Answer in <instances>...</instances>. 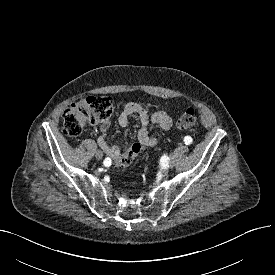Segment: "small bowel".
<instances>
[{
    "mask_svg": "<svg viewBox=\"0 0 275 275\" xmlns=\"http://www.w3.org/2000/svg\"><path fill=\"white\" fill-rule=\"evenodd\" d=\"M133 115H136L140 120V128L137 135L138 142L134 143L126 151H122L116 145H109L106 139L107 126L103 125L101 127L102 134L98 137L99 147L108 158L116 162L128 157L135 144L140 147H154L158 144V137L156 134L151 133L150 125H156L163 131L169 130L172 126V118L169 112L157 111L150 114L142 105L136 102H129L123 107L118 117L119 126L122 128L126 127L129 118Z\"/></svg>",
    "mask_w": 275,
    "mask_h": 275,
    "instance_id": "c3829d8e",
    "label": "small bowel"
}]
</instances>
